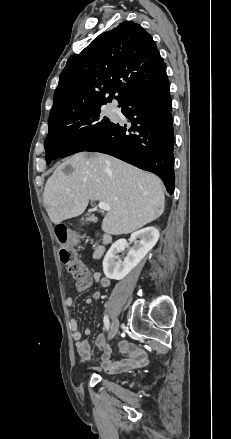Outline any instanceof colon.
I'll return each mask as SVG.
<instances>
[{
    "label": "colon",
    "instance_id": "colon-1",
    "mask_svg": "<svg viewBox=\"0 0 231 439\" xmlns=\"http://www.w3.org/2000/svg\"><path fill=\"white\" fill-rule=\"evenodd\" d=\"M55 236L60 262L76 277V284L79 290L88 289L91 285L90 275L83 263L77 259L73 249L80 243V236H69V231L65 226L56 227Z\"/></svg>",
    "mask_w": 231,
    "mask_h": 439
}]
</instances>
